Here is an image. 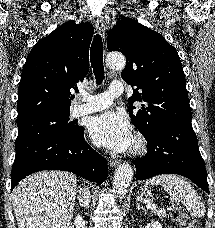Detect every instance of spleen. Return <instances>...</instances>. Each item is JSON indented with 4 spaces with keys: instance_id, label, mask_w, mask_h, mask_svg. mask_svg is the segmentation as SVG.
<instances>
[{
    "instance_id": "1",
    "label": "spleen",
    "mask_w": 215,
    "mask_h": 228,
    "mask_svg": "<svg viewBox=\"0 0 215 228\" xmlns=\"http://www.w3.org/2000/svg\"><path fill=\"white\" fill-rule=\"evenodd\" d=\"M150 186H162L167 194L181 202L183 206H186V210H188L192 218H203L205 216V206L198 192L194 190L193 186L185 178L176 176V174H162V176H155V178L147 180L145 190L150 188Z\"/></svg>"
}]
</instances>
